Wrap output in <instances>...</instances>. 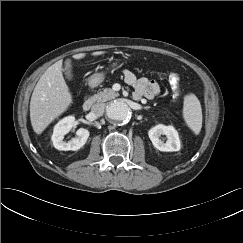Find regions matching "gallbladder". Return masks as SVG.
Here are the masks:
<instances>
[{"instance_id":"obj_1","label":"gallbladder","mask_w":243,"mask_h":243,"mask_svg":"<svg viewBox=\"0 0 243 243\" xmlns=\"http://www.w3.org/2000/svg\"><path fill=\"white\" fill-rule=\"evenodd\" d=\"M64 74H65L67 80L71 81L73 79L72 61L70 59H67L65 61Z\"/></svg>"}]
</instances>
